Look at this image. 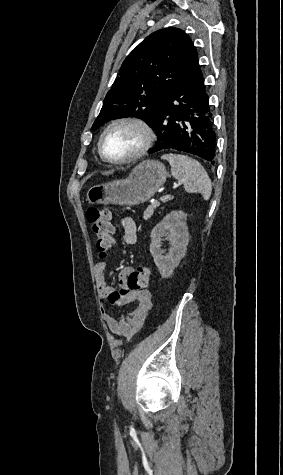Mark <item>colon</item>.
Segmentation results:
<instances>
[{
	"label": "colon",
	"instance_id": "colon-1",
	"mask_svg": "<svg viewBox=\"0 0 283 475\" xmlns=\"http://www.w3.org/2000/svg\"><path fill=\"white\" fill-rule=\"evenodd\" d=\"M86 216L95 236L97 252L100 256L105 257L114 247L115 228L110 220L109 211L107 208L89 207ZM150 279V268L146 265L139 266L128 274L127 287L121 289V293L145 290Z\"/></svg>",
	"mask_w": 283,
	"mask_h": 475
}]
</instances>
